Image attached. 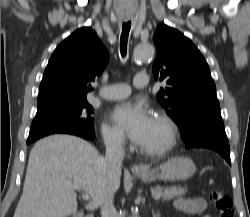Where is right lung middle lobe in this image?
Returning <instances> with one entry per match:
<instances>
[{
	"instance_id": "obj_1",
	"label": "right lung middle lobe",
	"mask_w": 250,
	"mask_h": 217,
	"mask_svg": "<svg viewBox=\"0 0 250 217\" xmlns=\"http://www.w3.org/2000/svg\"><path fill=\"white\" fill-rule=\"evenodd\" d=\"M92 113L93 108L86 99L37 110L27 144L54 133H67L93 140L95 133Z\"/></svg>"
}]
</instances>
